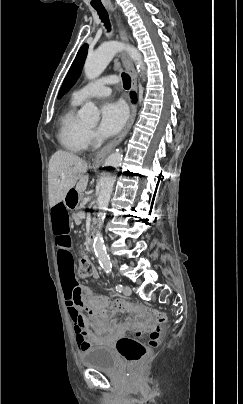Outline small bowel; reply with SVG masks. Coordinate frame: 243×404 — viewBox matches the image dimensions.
<instances>
[{
    "mask_svg": "<svg viewBox=\"0 0 243 404\" xmlns=\"http://www.w3.org/2000/svg\"><path fill=\"white\" fill-rule=\"evenodd\" d=\"M50 221L57 247V262L63 293L79 350L82 351L90 346L112 345L124 335L125 326L118 321L110 322L105 317L96 316L91 321L94 326V329H91L90 321L78 309L83 288L79 286L74 273L68 208L63 199L51 207Z\"/></svg>",
    "mask_w": 243,
    "mask_h": 404,
    "instance_id": "c3829d8e",
    "label": "small bowel"
}]
</instances>
